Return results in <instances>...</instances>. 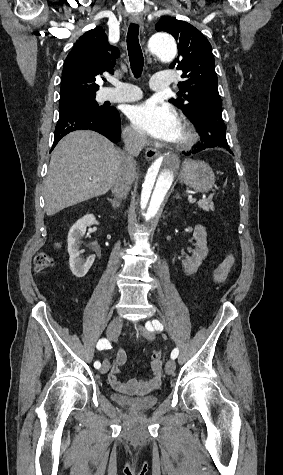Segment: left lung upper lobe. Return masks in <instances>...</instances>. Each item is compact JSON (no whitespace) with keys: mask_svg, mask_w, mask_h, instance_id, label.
Segmentation results:
<instances>
[{"mask_svg":"<svg viewBox=\"0 0 283 475\" xmlns=\"http://www.w3.org/2000/svg\"><path fill=\"white\" fill-rule=\"evenodd\" d=\"M155 28L170 33L179 43L178 57L169 68L177 67L183 72V81L178 83V96L182 98L169 101L192 120L203 106H221L215 61L208 39L191 24L169 16L162 17Z\"/></svg>","mask_w":283,"mask_h":475,"instance_id":"5c2ea615","label":"left lung upper lobe"}]
</instances>
